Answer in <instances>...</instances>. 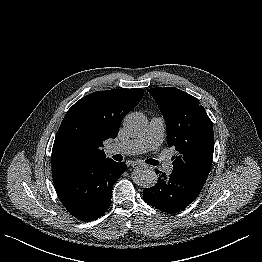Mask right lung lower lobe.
Returning a JSON list of instances; mask_svg holds the SVG:
<instances>
[{
	"label": "right lung lower lobe",
	"instance_id": "obj_1",
	"mask_svg": "<svg viewBox=\"0 0 262 262\" xmlns=\"http://www.w3.org/2000/svg\"><path fill=\"white\" fill-rule=\"evenodd\" d=\"M126 169L125 163L112 160L54 170L52 176L66 210L81 221H92L110 207L113 185Z\"/></svg>",
	"mask_w": 262,
	"mask_h": 262
}]
</instances>
